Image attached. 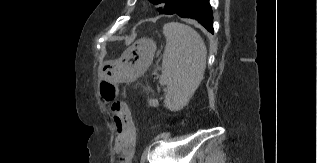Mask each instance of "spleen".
Listing matches in <instances>:
<instances>
[{"instance_id": "spleen-1", "label": "spleen", "mask_w": 317, "mask_h": 163, "mask_svg": "<svg viewBox=\"0 0 317 163\" xmlns=\"http://www.w3.org/2000/svg\"><path fill=\"white\" fill-rule=\"evenodd\" d=\"M163 34L166 47L160 83L167 87L164 105L178 111L187 105L203 78L207 49L200 35L188 25L167 23Z\"/></svg>"}]
</instances>
